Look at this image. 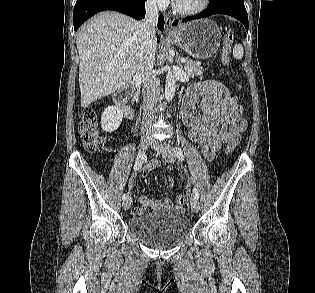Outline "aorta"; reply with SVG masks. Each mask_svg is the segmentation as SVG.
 Returning <instances> with one entry per match:
<instances>
[{
	"mask_svg": "<svg viewBox=\"0 0 315 293\" xmlns=\"http://www.w3.org/2000/svg\"><path fill=\"white\" fill-rule=\"evenodd\" d=\"M165 70L167 71L165 81V98L167 101H171L176 91V80L172 68L169 65L165 67Z\"/></svg>",
	"mask_w": 315,
	"mask_h": 293,
	"instance_id": "obj_1",
	"label": "aorta"
}]
</instances>
